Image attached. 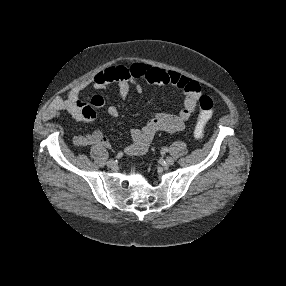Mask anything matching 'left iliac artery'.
I'll list each match as a JSON object with an SVG mask.
<instances>
[{
    "instance_id": "left-iliac-artery-1",
    "label": "left iliac artery",
    "mask_w": 286,
    "mask_h": 286,
    "mask_svg": "<svg viewBox=\"0 0 286 286\" xmlns=\"http://www.w3.org/2000/svg\"><path fill=\"white\" fill-rule=\"evenodd\" d=\"M163 151H164V152H168L169 150H168V148L164 147V148H163Z\"/></svg>"
}]
</instances>
